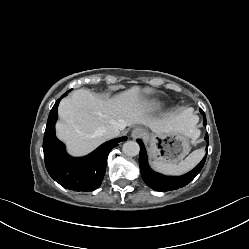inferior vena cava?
Returning <instances> with one entry per match:
<instances>
[{"label":"inferior vena cava","instance_id":"inferior-vena-cava-1","mask_svg":"<svg viewBox=\"0 0 249 249\" xmlns=\"http://www.w3.org/2000/svg\"><path fill=\"white\" fill-rule=\"evenodd\" d=\"M124 127V125L108 126L102 130V134L107 139L115 138L120 134V131L123 130Z\"/></svg>","mask_w":249,"mask_h":249}]
</instances>
